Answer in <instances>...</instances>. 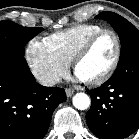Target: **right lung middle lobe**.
I'll list each match as a JSON object with an SVG mask.
<instances>
[{
    "label": "right lung middle lobe",
    "instance_id": "obj_1",
    "mask_svg": "<svg viewBox=\"0 0 139 139\" xmlns=\"http://www.w3.org/2000/svg\"><path fill=\"white\" fill-rule=\"evenodd\" d=\"M43 28L23 27L9 20L0 21V49H13L24 54V47Z\"/></svg>",
    "mask_w": 139,
    "mask_h": 139
}]
</instances>
